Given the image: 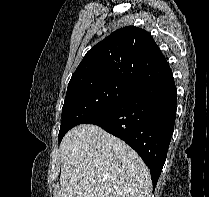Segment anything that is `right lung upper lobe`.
Segmentation results:
<instances>
[{
    "label": "right lung upper lobe",
    "instance_id": "cb5924a9",
    "mask_svg": "<svg viewBox=\"0 0 209 197\" xmlns=\"http://www.w3.org/2000/svg\"><path fill=\"white\" fill-rule=\"evenodd\" d=\"M171 72L152 36L141 28L128 26L116 30L92 47L69 84L107 79L138 89Z\"/></svg>",
    "mask_w": 209,
    "mask_h": 197
}]
</instances>
